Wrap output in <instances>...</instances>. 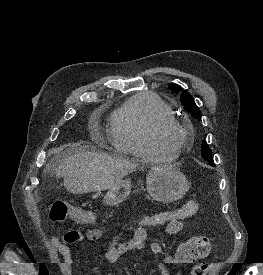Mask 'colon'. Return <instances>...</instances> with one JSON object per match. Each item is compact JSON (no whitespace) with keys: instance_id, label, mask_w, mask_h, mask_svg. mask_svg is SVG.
Here are the masks:
<instances>
[{"instance_id":"obj_1","label":"colon","mask_w":263,"mask_h":275,"mask_svg":"<svg viewBox=\"0 0 263 275\" xmlns=\"http://www.w3.org/2000/svg\"><path fill=\"white\" fill-rule=\"evenodd\" d=\"M197 210L198 202L195 199H190L174 211L161 212L143 218L142 224L158 226L172 220L186 219L192 217ZM50 218L59 222L69 218L80 223H90L97 219V215L91 210L82 209L65 202H56L51 208ZM210 251L211 242L209 238L206 236H195L179 245L174 259L178 265H188L205 258ZM211 267V262L199 263L193 267L191 275H208Z\"/></svg>"}]
</instances>
